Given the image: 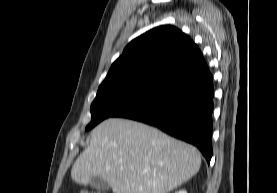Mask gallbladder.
<instances>
[{"label": "gallbladder", "mask_w": 277, "mask_h": 193, "mask_svg": "<svg viewBox=\"0 0 277 193\" xmlns=\"http://www.w3.org/2000/svg\"><path fill=\"white\" fill-rule=\"evenodd\" d=\"M91 187L100 190V191H107L109 190L110 186L107 181L101 177H93L90 183Z\"/></svg>", "instance_id": "gallbladder-1"}]
</instances>
